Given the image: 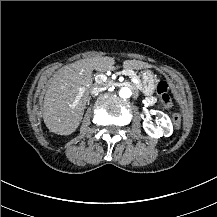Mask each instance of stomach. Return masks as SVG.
<instances>
[{
  "instance_id": "stomach-1",
  "label": "stomach",
  "mask_w": 217,
  "mask_h": 217,
  "mask_svg": "<svg viewBox=\"0 0 217 217\" xmlns=\"http://www.w3.org/2000/svg\"><path fill=\"white\" fill-rule=\"evenodd\" d=\"M141 76H142L141 91L145 96H151L157 88L158 80L156 79L154 73L149 69L142 71Z\"/></svg>"
}]
</instances>
